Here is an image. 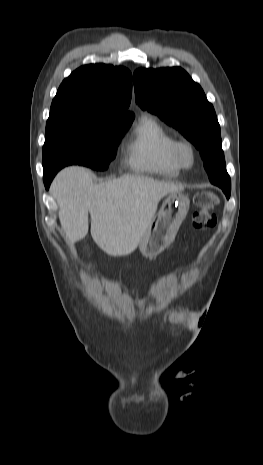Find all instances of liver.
<instances>
[{
  "instance_id": "liver-1",
  "label": "liver",
  "mask_w": 263,
  "mask_h": 465,
  "mask_svg": "<svg viewBox=\"0 0 263 465\" xmlns=\"http://www.w3.org/2000/svg\"><path fill=\"white\" fill-rule=\"evenodd\" d=\"M183 190L181 185L141 175H125L96 185L90 170L75 167L60 171L51 185L68 241L77 242L87 235L90 213L91 236L110 256L135 251L160 200Z\"/></svg>"
}]
</instances>
